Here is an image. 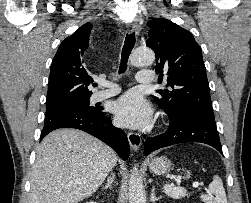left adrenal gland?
Listing matches in <instances>:
<instances>
[{
	"mask_svg": "<svg viewBox=\"0 0 251 203\" xmlns=\"http://www.w3.org/2000/svg\"><path fill=\"white\" fill-rule=\"evenodd\" d=\"M161 198H162V197H156V196H155V187H153L152 193H151L150 201H151V202H155V201L160 200Z\"/></svg>",
	"mask_w": 251,
	"mask_h": 203,
	"instance_id": "1",
	"label": "left adrenal gland"
}]
</instances>
